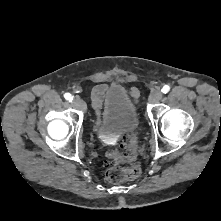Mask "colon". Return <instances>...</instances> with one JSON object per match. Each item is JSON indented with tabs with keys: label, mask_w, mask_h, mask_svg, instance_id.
Here are the masks:
<instances>
[{
	"label": "colon",
	"mask_w": 221,
	"mask_h": 221,
	"mask_svg": "<svg viewBox=\"0 0 221 221\" xmlns=\"http://www.w3.org/2000/svg\"><path fill=\"white\" fill-rule=\"evenodd\" d=\"M136 142L130 138L123 142L118 150L111 151L107 156L106 179L111 183H120L139 176L141 169L133 163L135 158ZM129 163L128 167L120 166Z\"/></svg>",
	"instance_id": "1"
}]
</instances>
